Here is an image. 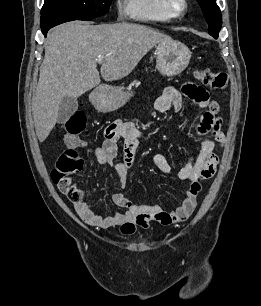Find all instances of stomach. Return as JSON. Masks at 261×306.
Instances as JSON below:
<instances>
[{
  "label": "stomach",
  "instance_id": "stomach-1",
  "mask_svg": "<svg viewBox=\"0 0 261 306\" xmlns=\"http://www.w3.org/2000/svg\"><path fill=\"white\" fill-rule=\"evenodd\" d=\"M191 52L179 41L160 42L156 48V68L163 76H177L189 64ZM133 93L123 92L121 87L110 86L104 91H96L91 97L93 105L100 111H114L122 107Z\"/></svg>",
  "mask_w": 261,
  "mask_h": 306
}]
</instances>
